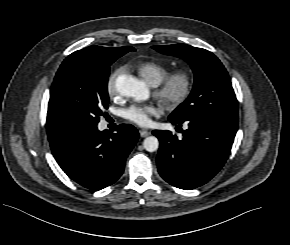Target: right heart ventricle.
<instances>
[{
	"mask_svg": "<svg viewBox=\"0 0 290 245\" xmlns=\"http://www.w3.org/2000/svg\"><path fill=\"white\" fill-rule=\"evenodd\" d=\"M136 69L138 73L153 86L161 83L169 73V70L164 65L153 61L142 62Z\"/></svg>",
	"mask_w": 290,
	"mask_h": 245,
	"instance_id": "e07e8e85",
	"label": "right heart ventricle"
}]
</instances>
